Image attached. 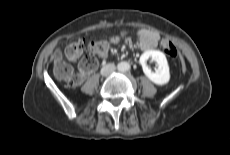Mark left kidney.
Here are the masks:
<instances>
[{"instance_id": "left-kidney-1", "label": "left kidney", "mask_w": 230, "mask_h": 155, "mask_svg": "<svg viewBox=\"0 0 230 155\" xmlns=\"http://www.w3.org/2000/svg\"><path fill=\"white\" fill-rule=\"evenodd\" d=\"M151 58L157 63V69L152 72L150 68L147 67V60ZM140 64L142 65L144 74L156 85H165L170 80L169 65L164 53L158 50H148L145 51L140 56Z\"/></svg>"}]
</instances>
